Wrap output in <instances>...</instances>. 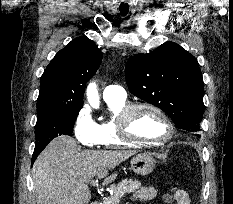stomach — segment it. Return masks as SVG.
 Here are the masks:
<instances>
[{"label":"stomach","mask_w":233,"mask_h":204,"mask_svg":"<svg viewBox=\"0 0 233 204\" xmlns=\"http://www.w3.org/2000/svg\"><path fill=\"white\" fill-rule=\"evenodd\" d=\"M132 170L139 175L150 174L155 167V160L149 154H138L134 156L131 161Z\"/></svg>","instance_id":"1"}]
</instances>
